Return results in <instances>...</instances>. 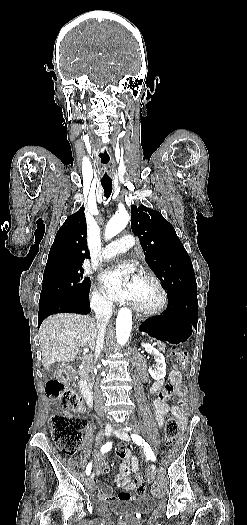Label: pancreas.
Returning a JSON list of instances; mask_svg holds the SVG:
<instances>
[{
	"instance_id": "cf45deb5",
	"label": "pancreas",
	"mask_w": 247,
	"mask_h": 525,
	"mask_svg": "<svg viewBox=\"0 0 247 525\" xmlns=\"http://www.w3.org/2000/svg\"><path fill=\"white\" fill-rule=\"evenodd\" d=\"M166 351H167L166 345H164V343H162V345H160V347H159V352L165 353ZM89 373H91V377H92V379H94V375L92 373V369H89Z\"/></svg>"
}]
</instances>
